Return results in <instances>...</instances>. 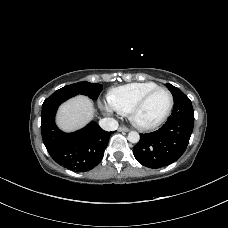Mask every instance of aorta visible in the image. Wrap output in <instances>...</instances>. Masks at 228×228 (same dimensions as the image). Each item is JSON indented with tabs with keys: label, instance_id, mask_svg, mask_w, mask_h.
Wrapping results in <instances>:
<instances>
[{
	"label": "aorta",
	"instance_id": "1",
	"mask_svg": "<svg viewBox=\"0 0 228 228\" xmlns=\"http://www.w3.org/2000/svg\"><path fill=\"white\" fill-rule=\"evenodd\" d=\"M139 139H140V136H139L138 132H136V131L129 132V134H128V140L131 143H138L139 142Z\"/></svg>",
	"mask_w": 228,
	"mask_h": 228
}]
</instances>
